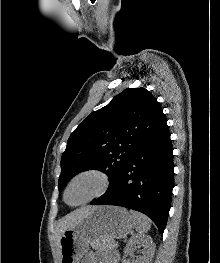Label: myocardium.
Listing matches in <instances>:
<instances>
[{
    "label": "myocardium",
    "instance_id": "f54148a6",
    "mask_svg": "<svg viewBox=\"0 0 220 263\" xmlns=\"http://www.w3.org/2000/svg\"><path fill=\"white\" fill-rule=\"evenodd\" d=\"M84 177H93V178L97 179V181H98L97 189L92 194H90L89 196H87V197H85V198H83L77 202L70 203L67 199L69 190L75 184V182H77L79 179L84 178ZM110 185H111V178L106 171L99 169V168L84 169V170L76 173L68 181V183L64 189L63 199H64V202L66 204H68L69 206L83 205L85 203L91 202V201L101 197L102 195H104L108 191Z\"/></svg>",
    "mask_w": 220,
    "mask_h": 263
}]
</instances>
